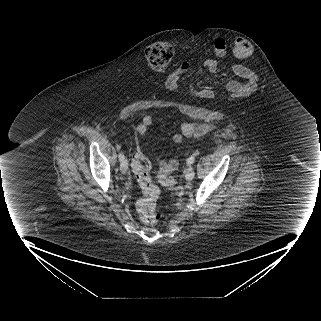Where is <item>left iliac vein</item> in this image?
Returning a JSON list of instances; mask_svg holds the SVG:
<instances>
[{
    "mask_svg": "<svg viewBox=\"0 0 321 321\" xmlns=\"http://www.w3.org/2000/svg\"><path fill=\"white\" fill-rule=\"evenodd\" d=\"M185 177L188 181H192L194 179V168L192 166H189L185 170Z\"/></svg>",
    "mask_w": 321,
    "mask_h": 321,
    "instance_id": "1",
    "label": "left iliac vein"
}]
</instances>
